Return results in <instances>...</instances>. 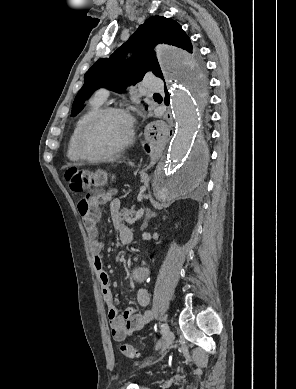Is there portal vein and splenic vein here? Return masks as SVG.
<instances>
[{"instance_id": "18ae733b", "label": "portal vein and splenic vein", "mask_w": 296, "mask_h": 389, "mask_svg": "<svg viewBox=\"0 0 296 389\" xmlns=\"http://www.w3.org/2000/svg\"><path fill=\"white\" fill-rule=\"evenodd\" d=\"M144 214V209L141 208L137 211L136 215H135V220H138L139 218H141Z\"/></svg>"}]
</instances>
